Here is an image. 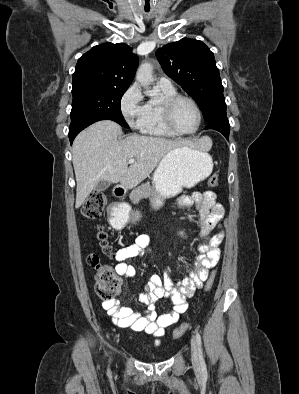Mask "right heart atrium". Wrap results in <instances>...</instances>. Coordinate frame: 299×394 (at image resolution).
I'll use <instances>...</instances> for the list:
<instances>
[{
  "label": "right heart atrium",
  "instance_id": "right-heart-atrium-1",
  "mask_svg": "<svg viewBox=\"0 0 299 394\" xmlns=\"http://www.w3.org/2000/svg\"><path fill=\"white\" fill-rule=\"evenodd\" d=\"M121 112L128 125L140 129L145 113L143 95L138 84H132L121 99Z\"/></svg>",
  "mask_w": 299,
  "mask_h": 394
}]
</instances>
